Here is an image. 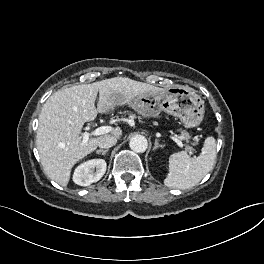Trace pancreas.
I'll use <instances>...</instances> for the list:
<instances>
[{
	"label": "pancreas",
	"instance_id": "pancreas-1",
	"mask_svg": "<svg viewBox=\"0 0 264 264\" xmlns=\"http://www.w3.org/2000/svg\"><path fill=\"white\" fill-rule=\"evenodd\" d=\"M181 138L188 142L190 140L191 136L187 131L181 130ZM188 149H191V148L188 147Z\"/></svg>",
	"mask_w": 264,
	"mask_h": 264
}]
</instances>
